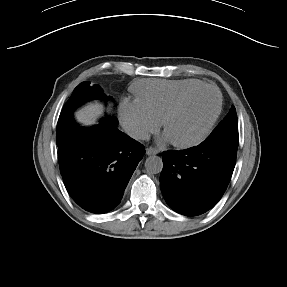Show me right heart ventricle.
<instances>
[{"mask_svg":"<svg viewBox=\"0 0 287 287\" xmlns=\"http://www.w3.org/2000/svg\"><path fill=\"white\" fill-rule=\"evenodd\" d=\"M203 84L196 79L184 80H154L139 81L134 89L138 100L160 121L174 104V102L187 90Z\"/></svg>","mask_w":287,"mask_h":287,"instance_id":"right-heart-ventricle-1","label":"right heart ventricle"}]
</instances>
